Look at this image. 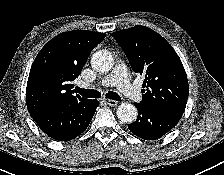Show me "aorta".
<instances>
[{"label": "aorta", "instance_id": "obj_1", "mask_svg": "<svg viewBox=\"0 0 224 175\" xmlns=\"http://www.w3.org/2000/svg\"><path fill=\"white\" fill-rule=\"evenodd\" d=\"M91 65L99 72H108L114 65V59L108 50H99L93 54ZM117 117L124 123H131L137 119V109L133 104L121 103L117 108Z\"/></svg>", "mask_w": 224, "mask_h": 175}]
</instances>
